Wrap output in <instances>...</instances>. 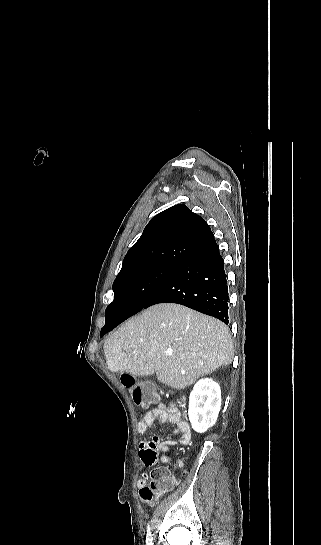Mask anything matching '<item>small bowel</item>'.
I'll use <instances>...</instances> for the list:
<instances>
[{"label": "small bowel", "mask_w": 321, "mask_h": 545, "mask_svg": "<svg viewBox=\"0 0 321 545\" xmlns=\"http://www.w3.org/2000/svg\"><path fill=\"white\" fill-rule=\"evenodd\" d=\"M156 421H159L160 423L164 425H175L176 427L172 430V435L176 437V439H168L159 442L158 444V450L163 453L159 460L163 464H173L177 468H182L184 463L181 459H175L172 460L167 453L170 452V449L173 445H176L177 443L180 444H187L190 441L191 438V430L189 425L182 420L179 412L176 408L172 406H158L152 410H149L146 412L142 418L138 421L137 424V430L139 434L144 435L148 431L150 427L154 425ZM141 461L145 467H152L155 464H157L158 459L157 457L153 460L147 459L143 454L140 455ZM160 473L165 474L170 479H172L175 484H177L178 479L171 474L166 468H161L159 470H156ZM152 475V473H151ZM150 475V476H151ZM149 475H145V477H142L138 479L137 481V487L142 488L146 486V478H148Z\"/></svg>", "instance_id": "1"}]
</instances>
